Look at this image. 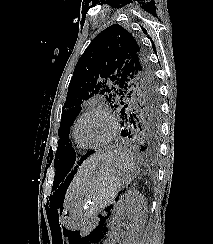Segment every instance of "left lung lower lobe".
I'll use <instances>...</instances> for the list:
<instances>
[{
  "label": "left lung lower lobe",
  "mask_w": 213,
  "mask_h": 244,
  "mask_svg": "<svg viewBox=\"0 0 213 244\" xmlns=\"http://www.w3.org/2000/svg\"><path fill=\"white\" fill-rule=\"evenodd\" d=\"M123 120V129L121 131L122 137L128 139L131 145L138 151L142 152L144 155L149 157H154L158 152V136L159 128L155 126L140 125L135 123L131 118H121ZM93 151L87 152L79 161L80 165ZM75 161L72 163L71 167L74 165ZM70 167V169H71ZM77 167L74 168L76 170ZM73 173V172H72ZM71 175V174H70Z\"/></svg>",
  "instance_id": "0a47b994"
}]
</instances>
